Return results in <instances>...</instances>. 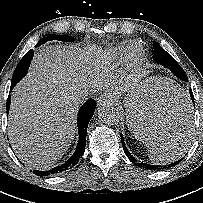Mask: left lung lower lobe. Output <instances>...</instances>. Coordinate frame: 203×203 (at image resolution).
Returning a JSON list of instances; mask_svg holds the SVG:
<instances>
[{
    "label": "left lung lower lobe",
    "instance_id": "0a47b994",
    "mask_svg": "<svg viewBox=\"0 0 203 203\" xmlns=\"http://www.w3.org/2000/svg\"><path fill=\"white\" fill-rule=\"evenodd\" d=\"M153 60L156 63L161 64L165 68L169 69L175 76H177L179 79L187 81L188 78L183 72V69L180 67V65L176 62V60L168 53L165 51H162L161 53L155 52L153 55ZM190 96L191 99L194 103V97L192 90L190 89ZM158 109L154 106H152L150 103L147 102L146 99L138 100L135 104L134 107V115L136 114L137 117L142 119V122L147 123L148 125H156V115L158 114ZM177 113V112H176ZM180 117V122H178V134L172 138V140L177 141L180 143L182 142V139L184 140V136L186 137L189 129H190V112L187 109H182V111L178 112L177 114ZM136 117V118H137ZM189 128V129H188ZM190 139V138H189ZM121 141H122V146L124 149V152L126 156L129 158V160L134 163L136 166H139L143 169L147 170H161V169H166L172 166L177 165L182 159L171 163L169 165L161 166L160 164L153 165V164H148V163H143L138 160H136L127 150L122 134H121ZM185 144V143H184ZM180 146V144H179Z\"/></svg>",
    "mask_w": 203,
    "mask_h": 203
}]
</instances>
